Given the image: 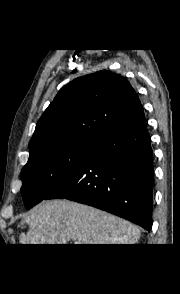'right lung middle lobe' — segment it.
Here are the masks:
<instances>
[{"label": "right lung middle lobe", "instance_id": "right-lung-middle-lobe-1", "mask_svg": "<svg viewBox=\"0 0 180 294\" xmlns=\"http://www.w3.org/2000/svg\"><path fill=\"white\" fill-rule=\"evenodd\" d=\"M97 141L71 140L41 149L21 171V194L27 209L66 181L95 147Z\"/></svg>", "mask_w": 180, "mask_h": 294}]
</instances>
